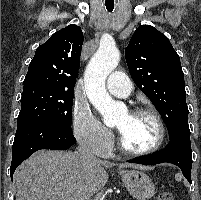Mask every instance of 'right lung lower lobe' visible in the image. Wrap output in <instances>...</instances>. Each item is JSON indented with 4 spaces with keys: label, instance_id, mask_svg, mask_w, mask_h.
Returning a JSON list of instances; mask_svg holds the SVG:
<instances>
[{
    "label": "right lung lower lobe",
    "instance_id": "1",
    "mask_svg": "<svg viewBox=\"0 0 201 200\" xmlns=\"http://www.w3.org/2000/svg\"><path fill=\"white\" fill-rule=\"evenodd\" d=\"M75 143L72 131L50 121L34 120L18 124L12 146L11 179L15 169L37 150H66Z\"/></svg>",
    "mask_w": 201,
    "mask_h": 200
}]
</instances>
